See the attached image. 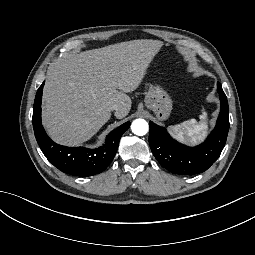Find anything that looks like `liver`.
Returning <instances> with one entry per match:
<instances>
[{
  "label": "liver",
  "instance_id": "1",
  "mask_svg": "<svg viewBox=\"0 0 255 255\" xmlns=\"http://www.w3.org/2000/svg\"><path fill=\"white\" fill-rule=\"evenodd\" d=\"M163 42L141 39L73 54L52 63L43 89L42 120L50 137L72 146L89 140L119 104L122 119L131 109L126 94L141 83Z\"/></svg>",
  "mask_w": 255,
  "mask_h": 255
}]
</instances>
